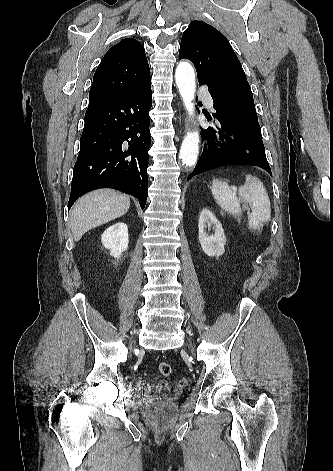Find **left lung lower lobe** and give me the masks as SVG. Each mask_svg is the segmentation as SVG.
<instances>
[{
  "label": "left lung lower lobe",
  "mask_w": 333,
  "mask_h": 471,
  "mask_svg": "<svg viewBox=\"0 0 333 471\" xmlns=\"http://www.w3.org/2000/svg\"><path fill=\"white\" fill-rule=\"evenodd\" d=\"M209 92L216 110L213 114L216 125L215 128L201 129L202 139L208 141L209 147L208 149L205 147L206 150L203 151L188 178L213 168L232 164L259 166L272 176L261 136L248 126L236 123L223 114L213 93L210 90Z\"/></svg>",
  "instance_id": "0a47b994"
}]
</instances>
